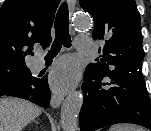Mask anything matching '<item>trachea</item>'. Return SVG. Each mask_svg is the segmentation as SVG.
<instances>
[{"instance_id": "3493384b", "label": "trachea", "mask_w": 151, "mask_h": 131, "mask_svg": "<svg viewBox=\"0 0 151 131\" xmlns=\"http://www.w3.org/2000/svg\"><path fill=\"white\" fill-rule=\"evenodd\" d=\"M69 12L66 2H64L56 15L55 19V39L52 47L46 57V60H52L61 50V47L69 48L71 46V38L69 34Z\"/></svg>"}]
</instances>
